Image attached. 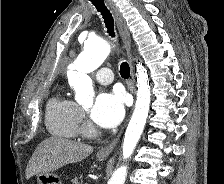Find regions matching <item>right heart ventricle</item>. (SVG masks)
Masks as SVG:
<instances>
[{"label":"right heart ventricle","mask_w":224,"mask_h":184,"mask_svg":"<svg viewBox=\"0 0 224 184\" xmlns=\"http://www.w3.org/2000/svg\"><path fill=\"white\" fill-rule=\"evenodd\" d=\"M45 122L52 135L75 138L81 122L80 108L76 102L65 95L57 94L46 105Z\"/></svg>","instance_id":"right-heart-ventricle-1"}]
</instances>
